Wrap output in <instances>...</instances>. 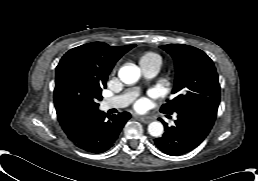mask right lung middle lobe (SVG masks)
Instances as JSON below:
<instances>
[{
    "instance_id": "obj_1",
    "label": "right lung middle lobe",
    "mask_w": 258,
    "mask_h": 181,
    "mask_svg": "<svg viewBox=\"0 0 258 181\" xmlns=\"http://www.w3.org/2000/svg\"><path fill=\"white\" fill-rule=\"evenodd\" d=\"M54 102L56 111L70 107L97 109L102 99L101 84L94 80L76 62L63 64L56 71Z\"/></svg>"
}]
</instances>
